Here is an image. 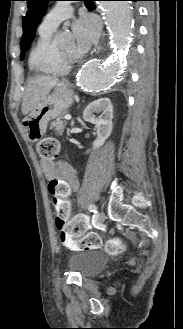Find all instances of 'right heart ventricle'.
<instances>
[{
    "mask_svg": "<svg viewBox=\"0 0 183 329\" xmlns=\"http://www.w3.org/2000/svg\"><path fill=\"white\" fill-rule=\"evenodd\" d=\"M53 32H42L29 54V67L32 71L43 75H60L65 72L58 62V48L52 41Z\"/></svg>",
    "mask_w": 183,
    "mask_h": 329,
    "instance_id": "e07e8e85",
    "label": "right heart ventricle"
}]
</instances>
